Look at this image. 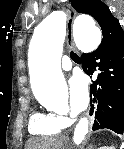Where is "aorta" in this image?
<instances>
[{"mask_svg": "<svg viewBox=\"0 0 124 149\" xmlns=\"http://www.w3.org/2000/svg\"><path fill=\"white\" fill-rule=\"evenodd\" d=\"M66 15L55 11L34 29L29 46L31 87L35 98L52 107L67 97V86L61 70L62 45L65 38ZM76 46L83 52L95 50L101 42V31L94 20L79 15L73 24ZM88 120L83 118L74 130V142L79 144L88 133Z\"/></svg>", "mask_w": 124, "mask_h": 149, "instance_id": "762f6f07", "label": "aorta"}]
</instances>
